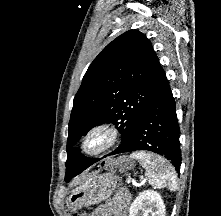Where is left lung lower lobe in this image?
<instances>
[{
	"instance_id": "0a47b994",
	"label": "left lung lower lobe",
	"mask_w": 221,
	"mask_h": 216,
	"mask_svg": "<svg viewBox=\"0 0 221 216\" xmlns=\"http://www.w3.org/2000/svg\"><path fill=\"white\" fill-rule=\"evenodd\" d=\"M137 150H148L163 155L172 161L178 172L180 170L181 153L176 106L161 67L156 75L150 104L139 120L133 137L125 146L116 149L108 156ZM98 160V158L85 157L83 171Z\"/></svg>"
}]
</instances>
